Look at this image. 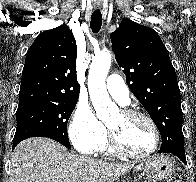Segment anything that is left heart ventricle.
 Returning a JSON list of instances; mask_svg holds the SVG:
<instances>
[{
	"instance_id": "obj_1",
	"label": "left heart ventricle",
	"mask_w": 196,
	"mask_h": 182,
	"mask_svg": "<svg viewBox=\"0 0 196 182\" xmlns=\"http://www.w3.org/2000/svg\"><path fill=\"white\" fill-rule=\"evenodd\" d=\"M107 126L128 151L142 154L151 149L154 136L150 125L142 118L115 114Z\"/></svg>"
}]
</instances>
